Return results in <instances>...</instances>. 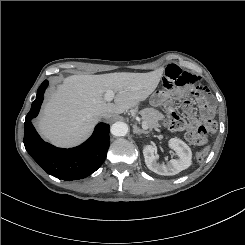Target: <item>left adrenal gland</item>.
Wrapping results in <instances>:
<instances>
[{"label": "left adrenal gland", "mask_w": 245, "mask_h": 245, "mask_svg": "<svg viewBox=\"0 0 245 245\" xmlns=\"http://www.w3.org/2000/svg\"><path fill=\"white\" fill-rule=\"evenodd\" d=\"M133 133L140 135V134H148L149 132L138 128L136 125H133Z\"/></svg>", "instance_id": "1"}]
</instances>
